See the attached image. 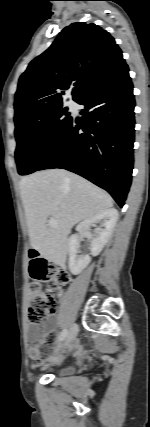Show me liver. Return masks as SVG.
<instances>
[{
    "mask_svg": "<svg viewBox=\"0 0 150 427\" xmlns=\"http://www.w3.org/2000/svg\"><path fill=\"white\" fill-rule=\"evenodd\" d=\"M19 186L31 245L60 265L66 261L71 228L113 207L107 192L64 169L35 172ZM48 217L58 225L50 227Z\"/></svg>",
    "mask_w": 150,
    "mask_h": 427,
    "instance_id": "obj_1",
    "label": "liver"
}]
</instances>
